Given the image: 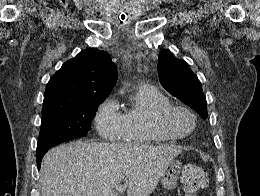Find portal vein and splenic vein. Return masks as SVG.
<instances>
[{"mask_svg": "<svg viewBox=\"0 0 260 196\" xmlns=\"http://www.w3.org/2000/svg\"><path fill=\"white\" fill-rule=\"evenodd\" d=\"M116 192H123L125 190L124 186H115Z\"/></svg>", "mask_w": 260, "mask_h": 196, "instance_id": "obj_1", "label": "portal vein and splenic vein"}]
</instances>
